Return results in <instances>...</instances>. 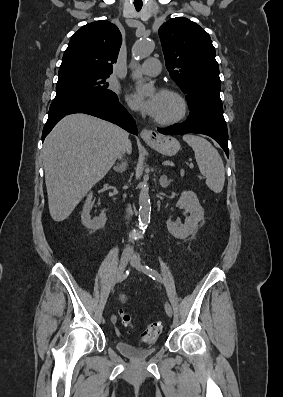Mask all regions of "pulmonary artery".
Instances as JSON below:
<instances>
[{"label": "pulmonary artery", "mask_w": 283, "mask_h": 397, "mask_svg": "<svg viewBox=\"0 0 283 397\" xmlns=\"http://www.w3.org/2000/svg\"><path fill=\"white\" fill-rule=\"evenodd\" d=\"M161 66L158 59L151 57L148 58L143 65L139 68L138 73L147 76H156L160 73Z\"/></svg>", "instance_id": "pulmonary-artery-1"}]
</instances>
